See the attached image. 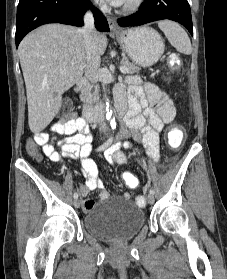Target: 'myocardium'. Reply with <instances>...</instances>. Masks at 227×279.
I'll return each instance as SVG.
<instances>
[{"label": "myocardium", "instance_id": "obj_1", "mask_svg": "<svg viewBox=\"0 0 227 279\" xmlns=\"http://www.w3.org/2000/svg\"><path fill=\"white\" fill-rule=\"evenodd\" d=\"M144 0H129L120 5L121 11L126 14H131L138 11L143 5Z\"/></svg>", "mask_w": 227, "mask_h": 279}]
</instances>
